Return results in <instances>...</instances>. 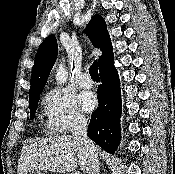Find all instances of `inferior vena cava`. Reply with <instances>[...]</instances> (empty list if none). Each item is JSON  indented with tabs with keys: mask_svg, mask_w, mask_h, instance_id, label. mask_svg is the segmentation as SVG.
I'll list each match as a JSON object with an SVG mask.
<instances>
[{
	"mask_svg": "<svg viewBox=\"0 0 175 174\" xmlns=\"http://www.w3.org/2000/svg\"><path fill=\"white\" fill-rule=\"evenodd\" d=\"M87 127V120L85 118H78L74 123V127L72 128V135L78 142L84 145L90 156V170L88 174H100L98 149L96 145L87 137Z\"/></svg>",
	"mask_w": 175,
	"mask_h": 174,
	"instance_id": "1",
	"label": "inferior vena cava"
}]
</instances>
